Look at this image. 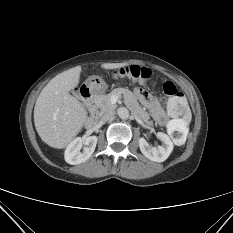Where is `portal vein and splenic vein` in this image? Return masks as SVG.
Instances as JSON below:
<instances>
[{
    "instance_id": "obj_1",
    "label": "portal vein and splenic vein",
    "mask_w": 233,
    "mask_h": 233,
    "mask_svg": "<svg viewBox=\"0 0 233 233\" xmlns=\"http://www.w3.org/2000/svg\"><path fill=\"white\" fill-rule=\"evenodd\" d=\"M118 99H119V96H112L111 103L113 104L116 103Z\"/></svg>"
}]
</instances>
